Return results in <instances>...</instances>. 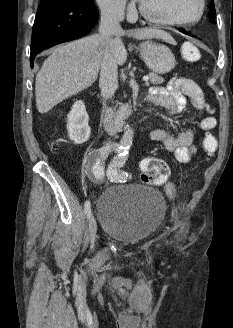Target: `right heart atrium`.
<instances>
[{
    "instance_id": "d8ad5b80",
    "label": "right heart atrium",
    "mask_w": 233,
    "mask_h": 328,
    "mask_svg": "<svg viewBox=\"0 0 233 328\" xmlns=\"http://www.w3.org/2000/svg\"><path fill=\"white\" fill-rule=\"evenodd\" d=\"M101 13L111 19H121L130 9L127 0H96Z\"/></svg>"
}]
</instances>
